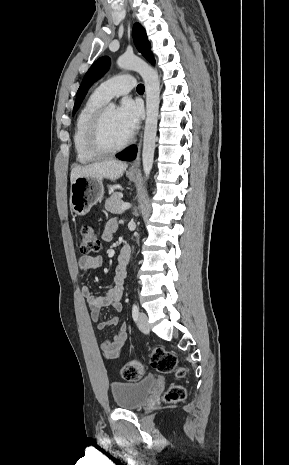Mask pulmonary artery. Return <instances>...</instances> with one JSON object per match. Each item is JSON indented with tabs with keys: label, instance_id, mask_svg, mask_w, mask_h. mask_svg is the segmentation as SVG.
<instances>
[{
	"label": "pulmonary artery",
	"instance_id": "obj_1",
	"mask_svg": "<svg viewBox=\"0 0 289 465\" xmlns=\"http://www.w3.org/2000/svg\"><path fill=\"white\" fill-rule=\"evenodd\" d=\"M136 86L135 78L131 75H118L99 85L96 89L98 95L104 100H110L115 96L126 94Z\"/></svg>",
	"mask_w": 289,
	"mask_h": 465
}]
</instances>
